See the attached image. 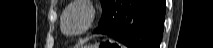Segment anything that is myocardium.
<instances>
[{"label":"myocardium","mask_w":213,"mask_h":48,"mask_svg":"<svg viewBox=\"0 0 213 48\" xmlns=\"http://www.w3.org/2000/svg\"><path fill=\"white\" fill-rule=\"evenodd\" d=\"M76 7L82 8L86 11V13H87L86 25L79 32H67L66 29H65V25H64L66 15L69 13L70 10H72L73 8H76ZM95 18H96V9L88 1H81V0L80 1H74L70 5H68L62 13L61 29H62L63 33L66 34L67 36H70V37L80 36V35L86 33L88 30L91 29V27L93 26Z\"/></svg>","instance_id":"1"}]
</instances>
